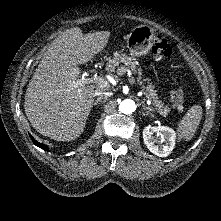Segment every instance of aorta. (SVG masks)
I'll use <instances>...</instances> for the list:
<instances>
[{
    "label": "aorta",
    "mask_w": 221,
    "mask_h": 221,
    "mask_svg": "<svg viewBox=\"0 0 221 221\" xmlns=\"http://www.w3.org/2000/svg\"><path fill=\"white\" fill-rule=\"evenodd\" d=\"M135 102L131 99H125L119 104V111L124 114H131L135 111Z\"/></svg>",
    "instance_id": "1"
}]
</instances>
